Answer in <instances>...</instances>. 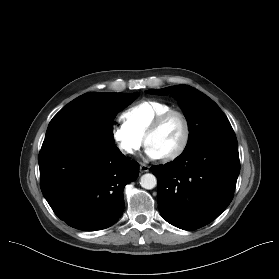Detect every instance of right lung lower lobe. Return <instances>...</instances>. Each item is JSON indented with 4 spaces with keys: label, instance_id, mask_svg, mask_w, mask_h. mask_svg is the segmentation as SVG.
Segmentation results:
<instances>
[{
    "label": "right lung lower lobe",
    "instance_id": "1",
    "mask_svg": "<svg viewBox=\"0 0 279 279\" xmlns=\"http://www.w3.org/2000/svg\"><path fill=\"white\" fill-rule=\"evenodd\" d=\"M42 193L69 226L101 230L124 210L123 189L137 179L139 164L115 145L67 132L45 138L38 157Z\"/></svg>",
    "mask_w": 279,
    "mask_h": 279
}]
</instances>
